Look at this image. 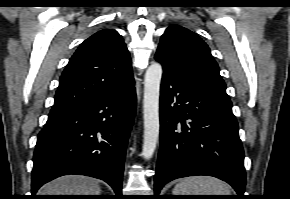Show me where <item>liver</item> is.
Instances as JSON below:
<instances>
[{
	"mask_svg": "<svg viewBox=\"0 0 290 199\" xmlns=\"http://www.w3.org/2000/svg\"><path fill=\"white\" fill-rule=\"evenodd\" d=\"M98 181L78 175L57 178L41 188V195H99Z\"/></svg>",
	"mask_w": 290,
	"mask_h": 199,
	"instance_id": "6515ba94",
	"label": "liver"
}]
</instances>
